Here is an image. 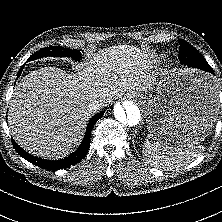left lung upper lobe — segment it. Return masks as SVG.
<instances>
[{"label": "left lung upper lobe", "instance_id": "obj_1", "mask_svg": "<svg viewBox=\"0 0 222 222\" xmlns=\"http://www.w3.org/2000/svg\"><path fill=\"white\" fill-rule=\"evenodd\" d=\"M179 60L185 64L186 60H191L196 64H199L202 70L212 69L207 61L201 56L197 49L191 46L183 39H179Z\"/></svg>", "mask_w": 222, "mask_h": 222}]
</instances>
